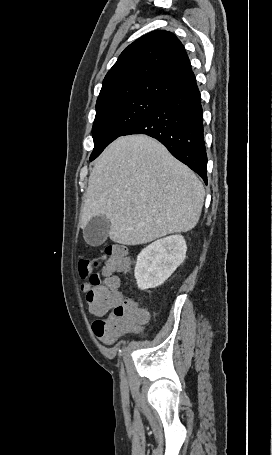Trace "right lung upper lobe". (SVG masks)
Instances as JSON below:
<instances>
[{
    "instance_id": "cb5924a9",
    "label": "right lung upper lobe",
    "mask_w": 272,
    "mask_h": 455,
    "mask_svg": "<svg viewBox=\"0 0 272 455\" xmlns=\"http://www.w3.org/2000/svg\"><path fill=\"white\" fill-rule=\"evenodd\" d=\"M195 83L180 40L171 32L156 30L121 53L103 80L96 107L136 96L165 100Z\"/></svg>"
}]
</instances>
